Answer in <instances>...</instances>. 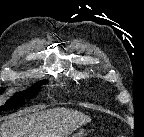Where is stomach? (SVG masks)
I'll list each match as a JSON object with an SVG mask.
<instances>
[{"label": "stomach", "instance_id": "stomach-1", "mask_svg": "<svg viewBox=\"0 0 144 137\" xmlns=\"http://www.w3.org/2000/svg\"><path fill=\"white\" fill-rule=\"evenodd\" d=\"M86 135H87V131L81 128L72 137H86Z\"/></svg>", "mask_w": 144, "mask_h": 137}]
</instances>
